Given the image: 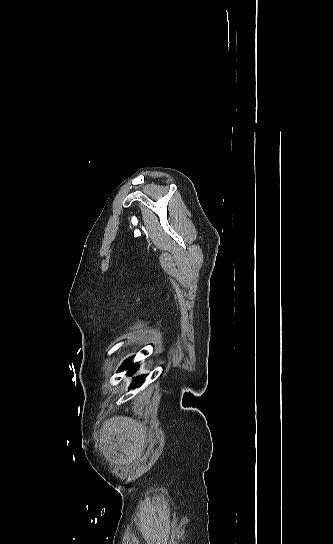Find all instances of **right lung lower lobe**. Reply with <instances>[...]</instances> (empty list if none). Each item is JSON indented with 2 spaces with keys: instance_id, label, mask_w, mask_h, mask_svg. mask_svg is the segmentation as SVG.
<instances>
[{
  "instance_id": "1",
  "label": "right lung lower lobe",
  "mask_w": 333,
  "mask_h": 544,
  "mask_svg": "<svg viewBox=\"0 0 333 544\" xmlns=\"http://www.w3.org/2000/svg\"><path fill=\"white\" fill-rule=\"evenodd\" d=\"M126 368H129V372H132V371L136 370L137 365L136 364L132 365L131 358H130V359H128V360H126L124 362V364L120 367L119 370H123V369H126ZM144 379H145V376H141L140 378H137L131 384L130 388L140 387L142 385V383L144 382Z\"/></svg>"
}]
</instances>
